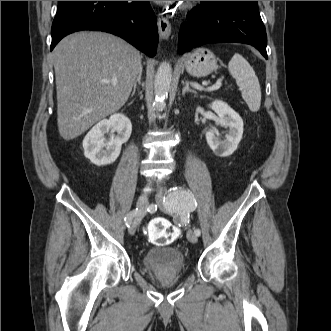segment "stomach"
<instances>
[{"label": "stomach", "instance_id": "stomach-1", "mask_svg": "<svg viewBox=\"0 0 331 331\" xmlns=\"http://www.w3.org/2000/svg\"><path fill=\"white\" fill-rule=\"evenodd\" d=\"M185 67L190 75L194 77H205L217 68V60L210 50L197 48L187 56Z\"/></svg>", "mask_w": 331, "mask_h": 331}]
</instances>
